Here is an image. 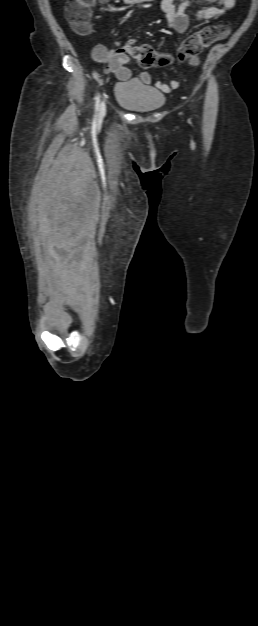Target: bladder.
<instances>
[{
  "instance_id": "obj_1",
  "label": "bladder",
  "mask_w": 258,
  "mask_h": 626,
  "mask_svg": "<svg viewBox=\"0 0 258 626\" xmlns=\"http://www.w3.org/2000/svg\"><path fill=\"white\" fill-rule=\"evenodd\" d=\"M114 97L119 105L137 112L156 110L165 102L162 92L137 78L117 83L114 88Z\"/></svg>"
}]
</instances>
